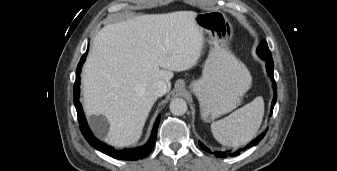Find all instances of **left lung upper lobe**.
Masks as SVG:
<instances>
[{
	"label": "left lung upper lobe",
	"instance_id": "1",
	"mask_svg": "<svg viewBox=\"0 0 337 171\" xmlns=\"http://www.w3.org/2000/svg\"><path fill=\"white\" fill-rule=\"evenodd\" d=\"M257 54L262 58V59H272L271 58V53L268 48L267 42L263 40L260 45L257 47Z\"/></svg>",
	"mask_w": 337,
	"mask_h": 171
}]
</instances>
